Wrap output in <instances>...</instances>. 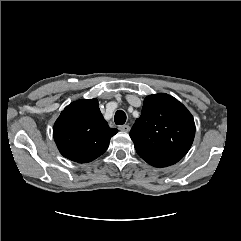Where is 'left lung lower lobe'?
Wrapping results in <instances>:
<instances>
[{"mask_svg":"<svg viewBox=\"0 0 241 241\" xmlns=\"http://www.w3.org/2000/svg\"><path fill=\"white\" fill-rule=\"evenodd\" d=\"M136 152L142 159L154 167L170 166L182 159V157L179 156L153 154L139 149H136Z\"/></svg>","mask_w":241,"mask_h":241,"instance_id":"obj_1","label":"left lung lower lobe"}]
</instances>
